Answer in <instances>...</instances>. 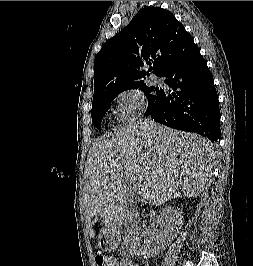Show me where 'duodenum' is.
<instances>
[{"label":"duodenum","instance_id":"obj_1","mask_svg":"<svg viewBox=\"0 0 253 266\" xmlns=\"http://www.w3.org/2000/svg\"><path fill=\"white\" fill-rule=\"evenodd\" d=\"M104 240L107 242V243H110V242H113L115 239H117V235L116 233L114 232H111V233H107L103 236ZM126 261H129L131 262L132 260H126Z\"/></svg>","mask_w":253,"mask_h":266}]
</instances>
